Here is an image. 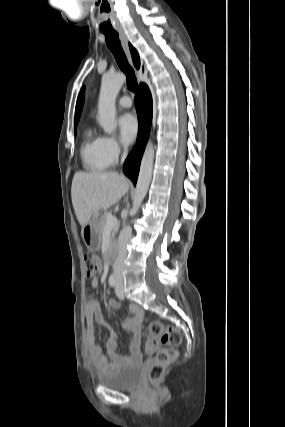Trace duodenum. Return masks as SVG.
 <instances>
[{
  "instance_id": "410a0bca",
  "label": "duodenum",
  "mask_w": 285,
  "mask_h": 427,
  "mask_svg": "<svg viewBox=\"0 0 285 427\" xmlns=\"http://www.w3.org/2000/svg\"><path fill=\"white\" fill-rule=\"evenodd\" d=\"M116 252H117V242H116V239H113L109 243V245L107 247V250H106V255H105L106 256V261L107 262L113 261L114 258H115Z\"/></svg>"
}]
</instances>
